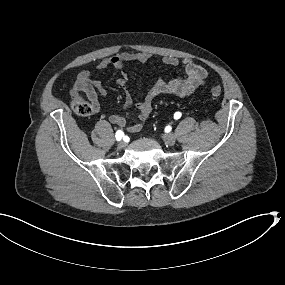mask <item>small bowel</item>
Masks as SVG:
<instances>
[{
  "instance_id": "small-bowel-1",
  "label": "small bowel",
  "mask_w": 285,
  "mask_h": 285,
  "mask_svg": "<svg viewBox=\"0 0 285 285\" xmlns=\"http://www.w3.org/2000/svg\"><path fill=\"white\" fill-rule=\"evenodd\" d=\"M150 59V54L146 52H123L111 57L102 59L97 68L105 70L113 67L117 70L123 68L125 63L137 61L146 63ZM162 62L168 66H178L180 63L184 66V76L170 81L158 80L148 90L145 98L136 104L138 121L128 126V131L131 133L139 132L152 111L153 101L162 94H170L178 97H186L191 95L198 87L204 84L207 78L206 69L200 64L191 59L180 60L174 56H167L162 59ZM117 84L124 90L125 99L123 110L129 109L133 104V98L126 88L125 77L117 79ZM81 94L93 104L95 111H99L98 96H106V87L96 80L89 71H81L74 79V83L70 90V95L73 99L82 98ZM110 123L120 128L126 127V120L120 114H112L109 117Z\"/></svg>"
}]
</instances>
